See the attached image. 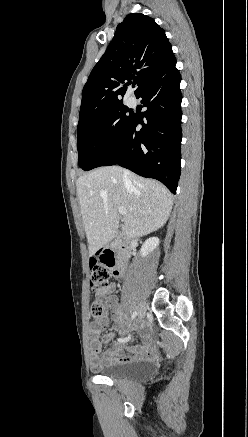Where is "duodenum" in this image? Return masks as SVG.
<instances>
[{
	"label": "duodenum",
	"instance_id": "410a0bca",
	"mask_svg": "<svg viewBox=\"0 0 248 437\" xmlns=\"http://www.w3.org/2000/svg\"><path fill=\"white\" fill-rule=\"evenodd\" d=\"M130 247L128 240L125 236L119 237L115 242L111 243L104 248H97L95 250V255L97 257H108L115 266L114 275H120V269L116 268V265L123 264L128 256Z\"/></svg>",
	"mask_w": 248,
	"mask_h": 437
}]
</instances>
